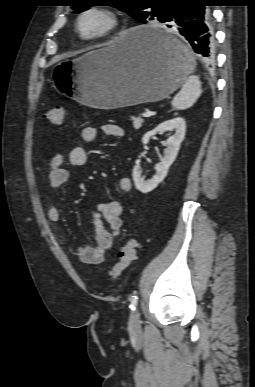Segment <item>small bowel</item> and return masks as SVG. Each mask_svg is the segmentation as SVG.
<instances>
[{"instance_id":"obj_1","label":"small bowel","mask_w":255,"mask_h":387,"mask_svg":"<svg viewBox=\"0 0 255 387\" xmlns=\"http://www.w3.org/2000/svg\"><path fill=\"white\" fill-rule=\"evenodd\" d=\"M102 132L107 136L122 138L124 129L114 123L101 126ZM98 131L95 127L86 126L81 130V139L84 143H92L97 139ZM68 161L73 166H83L88 161V155L83 147H75L68 154ZM65 156L56 154L49 163L48 180L52 188H60L70 179V172L63 167ZM132 188L129 177L123 176L118 180V189L127 193ZM123 205L119 200L112 199L98 204L93 216L94 235L90 246H79L70 249L79 261L85 264H99L103 261L105 252L112 246L113 240L119 236L122 228ZM48 219L57 223L60 219V211L56 206L48 210ZM108 226V228L106 227Z\"/></svg>"}]
</instances>
